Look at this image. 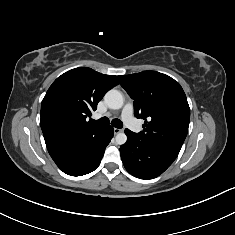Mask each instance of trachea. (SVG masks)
I'll return each instance as SVG.
<instances>
[{"label": "trachea", "mask_w": 235, "mask_h": 235, "mask_svg": "<svg viewBox=\"0 0 235 235\" xmlns=\"http://www.w3.org/2000/svg\"><path fill=\"white\" fill-rule=\"evenodd\" d=\"M93 122L98 125H107L109 124V119L107 117H103L100 118L99 120H93ZM111 124L119 129L123 127V123L119 119H113Z\"/></svg>", "instance_id": "3493384b"}]
</instances>
